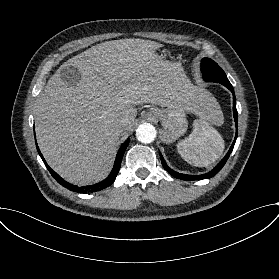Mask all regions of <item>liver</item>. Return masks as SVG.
Returning <instances> with one entry per match:
<instances>
[{
	"instance_id": "liver-1",
	"label": "liver",
	"mask_w": 279,
	"mask_h": 279,
	"mask_svg": "<svg viewBox=\"0 0 279 279\" xmlns=\"http://www.w3.org/2000/svg\"><path fill=\"white\" fill-rule=\"evenodd\" d=\"M163 45L143 39L106 41L69 59L48 80L35 109L38 146L49 166L66 181L89 185L112 169L116 146L134 124L137 104L168 103L171 93L201 116V92L179 62L155 53ZM73 66L81 74L75 86L61 78ZM129 121L120 134L116 127Z\"/></svg>"
}]
</instances>
